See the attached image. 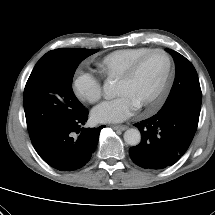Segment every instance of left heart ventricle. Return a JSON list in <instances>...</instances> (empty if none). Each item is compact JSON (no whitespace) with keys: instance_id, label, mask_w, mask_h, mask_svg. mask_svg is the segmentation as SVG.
<instances>
[{"instance_id":"1","label":"left heart ventricle","mask_w":215,"mask_h":215,"mask_svg":"<svg viewBox=\"0 0 215 215\" xmlns=\"http://www.w3.org/2000/svg\"><path fill=\"white\" fill-rule=\"evenodd\" d=\"M167 71V59L155 53L146 57L135 74L127 81H118V95H129L139 106L148 101L161 85Z\"/></svg>"}]
</instances>
